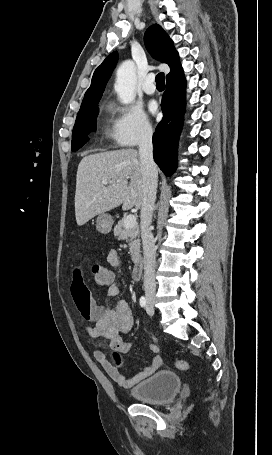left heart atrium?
Wrapping results in <instances>:
<instances>
[{
    "mask_svg": "<svg viewBox=\"0 0 272 455\" xmlns=\"http://www.w3.org/2000/svg\"><path fill=\"white\" fill-rule=\"evenodd\" d=\"M150 111H151L152 113H156V112H157V106H156V104L153 103V104L150 105Z\"/></svg>",
    "mask_w": 272,
    "mask_h": 455,
    "instance_id": "1",
    "label": "left heart atrium"
}]
</instances>
